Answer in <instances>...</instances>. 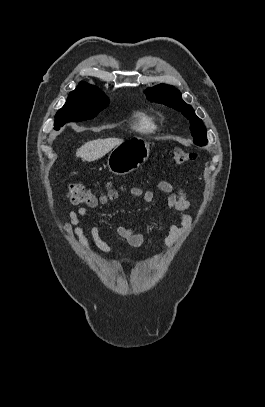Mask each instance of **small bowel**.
Segmentation results:
<instances>
[{"instance_id": "1", "label": "small bowel", "mask_w": 265, "mask_h": 407, "mask_svg": "<svg viewBox=\"0 0 265 407\" xmlns=\"http://www.w3.org/2000/svg\"><path fill=\"white\" fill-rule=\"evenodd\" d=\"M158 189L164 194V201L168 208L176 211L178 215V223L172 222L169 225L168 234L163 241V249L169 250L189 231L192 223V218L188 213L190 203L183 190L175 191L173 186L167 181H160ZM130 194L133 197L142 198L147 203L151 202L154 198V193L151 190L143 191L139 187L131 188ZM87 213V209L84 207H80L76 211H70L68 213V220L64 224L65 232L91 255L95 256L98 252L117 254V251L101 237L100 228L96 224L90 228L93 245L90 243L80 224L81 218L86 217ZM116 231L122 239L132 246H141L148 241L145 234L137 232L132 227L119 226Z\"/></svg>"}]
</instances>
